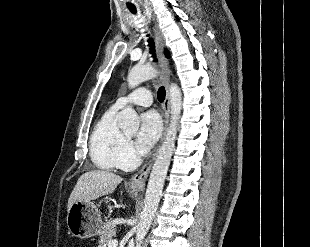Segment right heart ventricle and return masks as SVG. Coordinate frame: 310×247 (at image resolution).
I'll list each match as a JSON object with an SVG mask.
<instances>
[{"instance_id":"e07e8e85","label":"right heart ventricle","mask_w":310,"mask_h":247,"mask_svg":"<svg viewBox=\"0 0 310 247\" xmlns=\"http://www.w3.org/2000/svg\"><path fill=\"white\" fill-rule=\"evenodd\" d=\"M118 109L110 107L97 121L91 133L89 150L93 164L103 170L120 167L121 156L126 142L116 121Z\"/></svg>"}]
</instances>
